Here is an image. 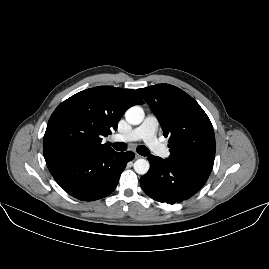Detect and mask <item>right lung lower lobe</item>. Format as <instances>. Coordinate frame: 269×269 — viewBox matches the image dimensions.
I'll list each match as a JSON object with an SVG mask.
<instances>
[{"instance_id": "1", "label": "right lung lower lobe", "mask_w": 269, "mask_h": 269, "mask_svg": "<svg viewBox=\"0 0 269 269\" xmlns=\"http://www.w3.org/2000/svg\"><path fill=\"white\" fill-rule=\"evenodd\" d=\"M134 156L131 151L96 150L85 155L54 158L47 166L67 193L82 201H94L115 190L122 171Z\"/></svg>"}]
</instances>
